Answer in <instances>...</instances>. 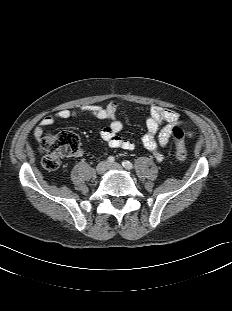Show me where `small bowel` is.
<instances>
[{"instance_id": "small-bowel-1", "label": "small bowel", "mask_w": 232, "mask_h": 311, "mask_svg": "<svg viewBox=\"0 0 232 311\" xmlns=\"http://www.w3.org/2000/svg\"><path fill=\"white\" fill-rule=\"evenodd\" d=\"M118 107L119 104L116 101H111L105 106L87 104L73 109H60L54 114L47 115L40 120L34 129V137L36 140L41 141L45 137V128L53 125L57 120L90 115L98 119L110 121L100 131L101 138L108 146L111 148L133 150L135 143L130 139L120 136L123 124L118 118ZM180 123V115L176 111L156 105L150 107L149 116L146 120V131L141 138V142L158 161H161L163 158L160 149L167 146L171 140L172 128ZM81 154L82 151H79L78 155Z\"/></svg>"}]
</instances>
